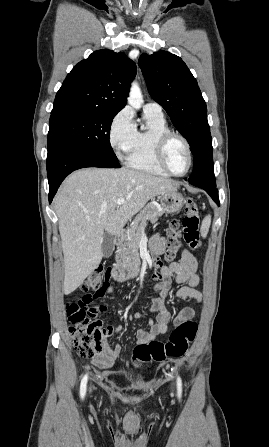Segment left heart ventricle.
Instances as JSON below:
<instances>
[{
	"instance_id": "obj_1",
	"label": "left heart ventricle",
	"mask_w": 269,
	"mask_h": 447,
	"mask_svg": "<svg viewBox=\"0 0 269 447\" xmlns=\"http://www.w3.org/2000/svg\"><path fill=\"white\" fill-rule=\"evenodd\" d=\"M167 160L171 168L176 172H182L188 164V155L184 144L175 139L167 149Z\"/></svg>"
}]
</instances>
